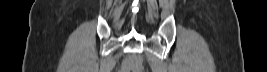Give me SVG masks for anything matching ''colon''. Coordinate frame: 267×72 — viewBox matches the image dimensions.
Segmentation results:
<instances>
[{
  "label": "colon",
  "instance_id": "obj_1",
  "mask_svg": "<svg viewBox=\"0 0 267 72\" xmlns=\"http://www.w3.org/2000/svg\"><path fill=\"white\" fill-rule=\"evenodd\" d=\"M120 72H136L137 67L134 65V63L126 62L124 66L122 67Z\"/></svg>",
  "mask_w": 267,
  "mask_h": 72
}]
</instances>
